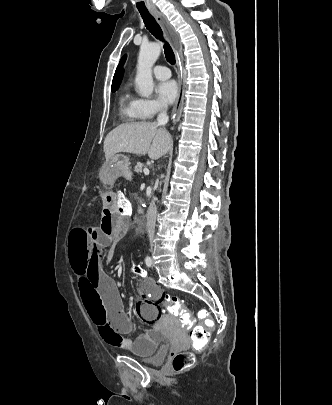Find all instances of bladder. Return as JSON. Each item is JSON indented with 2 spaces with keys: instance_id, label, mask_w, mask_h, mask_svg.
Returning a JSON list of instances; mask_svg holds the SVG:
<instances>
[{
  "instance_id": "31cf9c89",
  "label": "bladder",
  "mask_w": 332,
  "mask_h": 405,
  "mask_svg": "<svg viewBox=\"0 0 332 405\" xmlns=\"http://www.w3.org/2000/svg\"><path fill=\"white\" fill-rule=\"evenodd\" d=\"M166 341V338L163 336L162 342L151 344V351L149 353H144L139 350H132L129 352L137 358L143 359L149 363L162 364L167 354Z\"/></svg>"
}]
</instances>
